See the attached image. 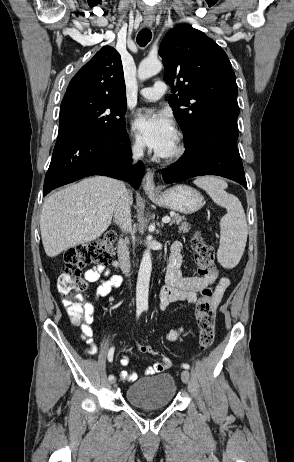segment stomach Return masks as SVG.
<instances>
[{
	"label": "stomach",
	"mask_w": 294,
	"mask_h": 462,
	"mask_svg": "<svg viewBox=\"0 0 294 462\" xmlns=\"http://www.w3.org/2000/svg\"><path fill=\"white\" fill-rule=\"evenodd\" d=\"M147 194L157 205L183 214H192L204 205L201 193L186 185H176L160 194Z\"/></svg>",
	"instance_id": "1"
}]
</instances>
